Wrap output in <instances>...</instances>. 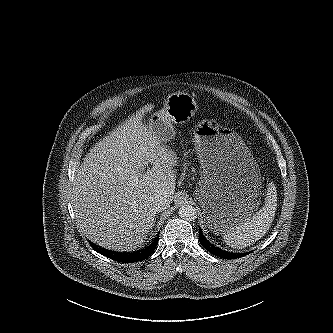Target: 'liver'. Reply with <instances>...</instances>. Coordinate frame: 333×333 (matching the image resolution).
<instances>
[{"label":"liver","instance_id":"6515ba94","mask_svg":"<svg viewBox=\"0 0 333 333\" xmlns=\"http://www.w3.org/2000/svg\"><path fill=\"white\" fill-rule=\"evenodd\" d=\"M138 111L87 153L73 181L72 206L79 229L93 243L131 251L155 223L156 195L173 200L176 154L143 125ZM152 168L145 173L148 164Z\"/></svg>","mask_w":333,"mask_h":333}]
</instances>
